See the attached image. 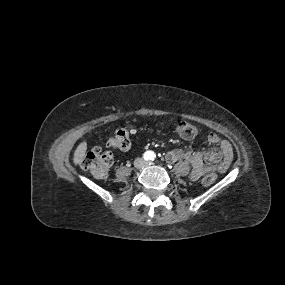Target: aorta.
Masks as SVG:
<instances>
[{
    "instance_id": "aorta-1",
    "label": "aorta",
    "mask_w": 285,
    "mask_h": 285,
    "mask_svg": "<svg viewBox=\"0 0 285 285\" xmlns=\"http://www.w3.org/2000/svg\"><path fill=\"white\" fill-rule=\"evenodd\" d=\"M147 157H148L149 159L154 158V157H155L154 152H152V151H148V152H147Z\"/></svg>"
}]
</instances>
